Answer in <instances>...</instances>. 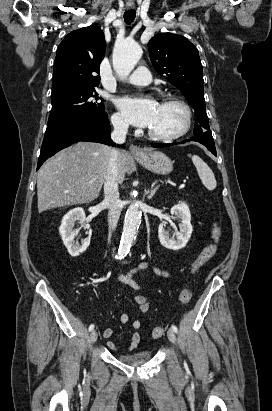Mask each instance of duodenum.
<instances>
[{
	"label": "duodenum",
	"mask_w": 272,
	"mask_h": 411,
	"mask_svg": "<svg viewBox=\"0 0 272 411\" xmlns=\"http://www.w3.org/2000/svg\"><path fill=\"white\" fill-rule=\"evenodd\" d=\"M131 261H132V258H130V257H126L125 259L121 260V262H122L123 264H128V263H130Z\"/></svg>",
	"instance_id": "410a0bca"
}]
</instances>
